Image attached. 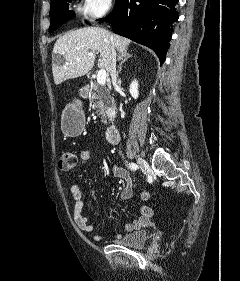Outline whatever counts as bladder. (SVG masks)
Returning a JSON list of instances; mask_svg holds the SVG:
<instances>
[{"label":"bladder","instance_id":"1","mask_svg":"<svg viewBox=\"0 0 240 281\" xmlns=\"http://www.w3.org/2000/svg\"><path fill=\"white\" fill-rule=\"evenodd\" d=\"M148 239L149 233L146 230L141 229L118 238L115 240V244L125 247H141L148 241Z\"/></svg>","mask_w":240,"mask_h":281}]
</instances>
